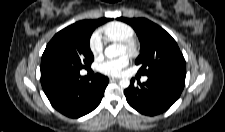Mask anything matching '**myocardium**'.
<instances>
[{
	"label": "myocardium",
	"mask_w": 225,
	"mask_h": 132,
	"mask_svg": "<svg viewBox=\"0 0 225 132\" xmlns=\"http://www.w3.org/2000/svg\"><path fill=\"white\" fill-rule=\"evenodd\" d=\"M120 45L125 48L126 53L136 55L139 51L138 44L134 39H128L120 42Z\"/></svg>",
	"instance_id": "f54148a6"
}]
</instances>
